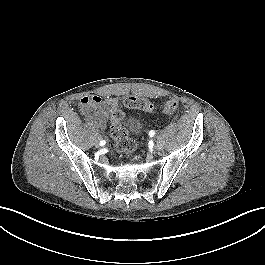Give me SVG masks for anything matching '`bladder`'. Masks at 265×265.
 I'll list each match as a JSON object with an SVG mask.
<instances>
[{"instance_id": "31cf9c89", "label": "bladder", "mask_w": 265, "mask_h": 265, "mask_svg": "<svg viewBox=\"0 0 265 265\" xmlns=\"http://www.w3.org/2000/svg\"><path fill=\"white\" fill-rule=\"evenodd\" d=\"M124 126L129 134L137 135L142 131V123L135 118L125 120Z\"/></svg>"}]
</instances>
